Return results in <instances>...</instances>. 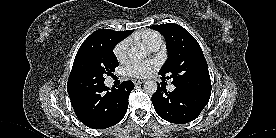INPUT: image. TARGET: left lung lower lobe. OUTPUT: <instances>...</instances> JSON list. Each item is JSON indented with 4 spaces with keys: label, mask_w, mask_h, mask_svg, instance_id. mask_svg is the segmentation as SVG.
Segmentation results:
<instances>
[{
    "label": "left lung lower lobe",
    "mask_w": 276,
    "mask_h": 138,
    "mask_svg": "<svg viewBox=\"0 0 276 138\" xmlns=\"http://www.w3.org/2000/svg\"><path fill=\"white\" fill-rule=\"evenodd\" d=\"M211 92H199L176 87L173 92L159 87L152 95L156 113L172 123H188L201 113L209 101Z\"/></svg>",
    "instance_id": "0a47b994"
}]
</instances>
